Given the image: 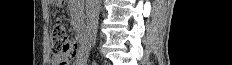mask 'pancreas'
I'll return each mask as SVG.
<instances>
[{"mask_svg": "<svg viewBox=\"0 0 232 65\" xmlns=\"http://www.w3.org/2000/svg\"><path fill=\"white\" fill-rule=\"evenodd\" d=\"M81 26H82V24H80V23H75V24H74V27H75L76 29H80Z\"/></svg>", "mask_w": 232, "mask_h": 65, "instance_id": "cf45deb5", "label": "pancreas"}]
</instances>
